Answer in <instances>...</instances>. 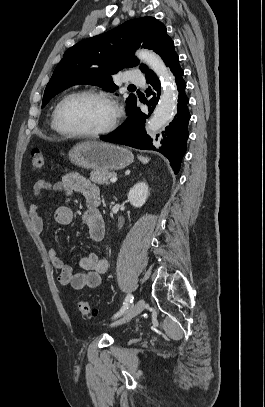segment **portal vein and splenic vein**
I'll use <instances>...</instances> for the list:
<instances>
[{"mask_svg": "<svg viewBox=\"0 0 265 407\" xmlns=\"http://www.w3.org/2000/svg\"><path fill=\"white\" fill-rule=\"evenodd\" d=\"M110 181H111L112 183L116 182V181H117V177H116V176H113V177L110 179Z\"/></svg>", "mask_w": 265, "mask_h": 407, "instance_id": "portal-vein-and-splenic-vein-1", "label": "portal vein and splenic vein"}]
</instances>
